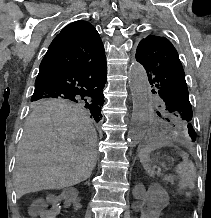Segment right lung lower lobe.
Segmentation results:
<instances>
[{
  "mask_svg": "<svg viewBox=\"0 0 211 218\" xmlns=\"http://www.w3.org/2000/svg\"><path fill=\"white\" fill-rule=\"evenodd\" d=\"M106 58L75 67L51 76L37 84L32 98H97L103 97L102 90L106 83Z\"/></svg>",
  "mask_w": 211,
  "mask_h": 218,
  "instance_id": "1",
  "label": "right lung lower lobe"
}]
</instances>
